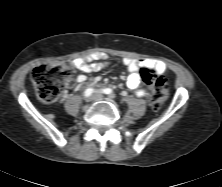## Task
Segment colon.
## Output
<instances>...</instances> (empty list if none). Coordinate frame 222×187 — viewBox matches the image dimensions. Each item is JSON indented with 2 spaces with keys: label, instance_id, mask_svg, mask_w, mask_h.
<instances>
[{
  "label": "colon",
  "instance_id": "5ec220e1",
  "mask_svg": "<svg viewBox=\"0 0 222 187\" xmlns=\"http://www.w3.org/2000/svg\"><path fill=\"white\" fill-rule=\"evenodd\" d=\"M141 78L149 88L150 103L159 109L168 97V89L161 77L154 76L148 69L140 72ZM73 81L72 69L67 62L44 63L32 72V82L38 99L43 103L56 101L62 90Z\"/></svg>",
  "mask_w": 222,
  "mask_h": 187
}]
</instances>
